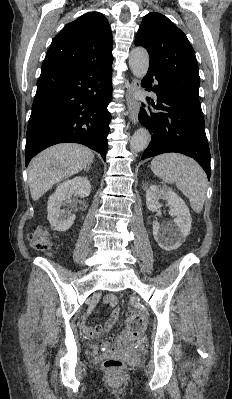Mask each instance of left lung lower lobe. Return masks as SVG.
<instances>
[{
	"instance_id": "1",
	"label": "left lung lower lobe",
	"mask_w": 232,
	"mask_h": 399,
	"mask_svg": "<svg viewBox=\"0 0 232 399\" xmlns=\"http://www.w3.org/2000/svg\"><path fill=\"white\" fill-rule=\"evenodd\" d=\"M155 76L156 85L151 88ZM147 91L157 93V104L146 97L151 107L140 109L139 121L147 127L152 138L142 159L162 153L176 152L195 159L205 170L208 180L211 175L210 150L205 134L203 113L190 106L168 83L156 72L148 70L141 82Z\"/></svg>"
}]
</instances>
